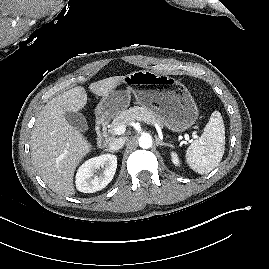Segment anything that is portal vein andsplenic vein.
<instances>
[{
	"mask_svg": "<svg viewBox=\"0 0 269 269\" xmlns=\"http://www.w3.org/2000/svg\"><path fill=\"white\" fill-rule=\"evenodd\" d=\"M126 131V126L125 125H119L113 129V134L115 135H121L124 134ZM193 138H198L197 135H192ZM184 138L187 141H190V136L188 134H184Z\"/></svg>",
	"mask_w": 269,
	"mask_h": 269,
	"instance_id": "18ae733b",
	"label": "portal vein and splenic vein"
}]
</instances>
